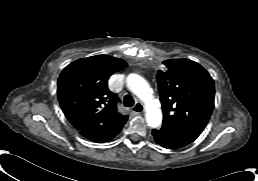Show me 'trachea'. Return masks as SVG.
I'll use <instances>...</instances> for the list:
<instances>
[{"instance_id": "obj_1", "label": "trachea", "mask_w": 258, "mask_h": 181, "mask_svg": "<svg viewBox=\"0 0 258 181\" xmlns=\"http://www.w3.org/2000/svg\"><path fill=\"white\" fill-rule=\"evenodd\" d=\"M124 105H125L126 107H131V106L134 105V99L132 98V96L126 95V96L124 97Z\"/></svg>"}]
</instances>
